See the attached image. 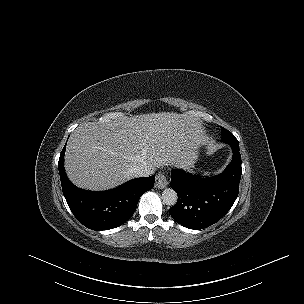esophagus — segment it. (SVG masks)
Here are the masks:
<instances>
[{
	"label": "esophagus",
	"instance_id": "34e87169",
	"mask_svg": "<svg viewBox=\"0 0 304 304\" xmlns=\"http://www.w3.org/2000/svg\"><path fill=\"white\" fill-rule=\"evenodd\" d=\"M168 185V178L165 173H159L155 179V187L158 189H163Z\"/></svg>",
	"mask_w": 304,
	"mask_h": 304
}]
</instances>
